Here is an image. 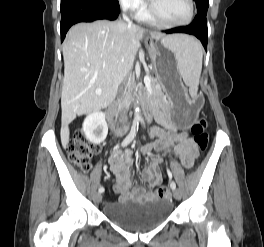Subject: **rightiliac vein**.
<instances>
[{
    "label": "right iliac vein",
    "mask_w": 264,
    "mask_h": 247,
    "mask_svg": "<svg viewBox=\"0 0 264 247\" xmlns=\"http://www.w3.org/2000/svg\"><path fill=\"white\" fill-rule=\"evenodd\" d=\"M93 198L96 203H100L102 200V195L100 193H95Z\"/></svg>",
    "instance_id": "1"
}]
</instances>
